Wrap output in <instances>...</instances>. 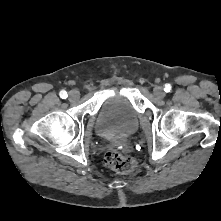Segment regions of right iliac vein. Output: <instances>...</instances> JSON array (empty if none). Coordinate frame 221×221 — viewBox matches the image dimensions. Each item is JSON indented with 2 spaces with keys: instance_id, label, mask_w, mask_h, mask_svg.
Returning a JSON list of instances; mask_svg holds the SVG:
<instances>
[{
  "instance_id": "1",
  "label": "right iliac vein",
  "mask_w": 221,
  "mask_h": 221,
  "mask_svg": "<svg viewBox=\"0 0 221 221\" xmlns=\"http://www.w3.org/2000/svg\"><path fill=\"white\" fill-rule=\"evenodd\" d=\"M80 97V93L77 90H72L69 92V100L76 101Z\"/></svg>"
}]
</instances>
